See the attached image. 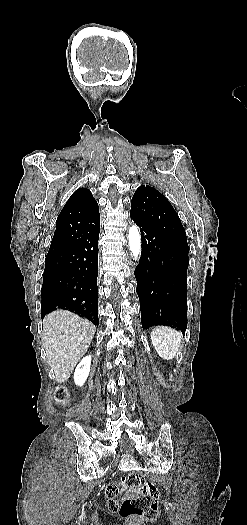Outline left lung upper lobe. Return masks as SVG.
Returning a JSON list of instances; mask_svg holds the SVG:
<instances>
[{
  "label": "left lung upper lobe",
  "instance_id": "left-lung-upper-lobe-1",
  "mask_svg": "<svg viewBox=\"0 0 247 525\" xmlns=\"http://www.w3.org/2000/svg\"><path fill=\"white\" fill-rule=\"evenodd\" d=\"M130 217L134 222L159 227L188 246L185 230L176 211L155 188L149 185L137 188L131 200Z\"/></svg>",
  "mask_w": 247,
  "mask_h": 525
}]
</instances>
